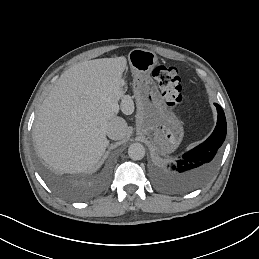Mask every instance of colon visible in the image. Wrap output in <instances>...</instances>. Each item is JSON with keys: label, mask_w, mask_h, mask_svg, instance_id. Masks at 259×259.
Wrapping results in <instances>:
<instances>
[{"label": "colon", "mask_w": 259, "mask_h": 259, "mask_svg": "<svg viewBox=\"0 0 259 259\" xmlns=\"http://www.w3.org/2000/svg\"><path fill=\"white\" fill-rule=\"evenodd\" d=\"M153 76L166 104L172 109L178 108L183 101L178 70L173 66L159 64L155 66Z\"/></svg>", "instance_id": "obj_1"}]
</instances>
